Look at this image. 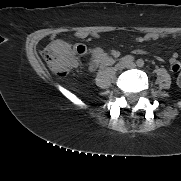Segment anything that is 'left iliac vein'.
<instances>
[{
	"label": "left iliac vein",
	"mask_w": 181,
	"mask_h": 181,
	"mask_svg": "<svg viewBox=\"0 0 181 181\" xmlns=\"http://www.w3.org/2000/svg\"><path fill=\"white\" fill-rule=\"evenodd\" d=\"M126 67H128V68H134V67H136V64L132 62V63L127 64Z\"/></svg>",
	"instance_id": "obj_1"
}]
</instances>
